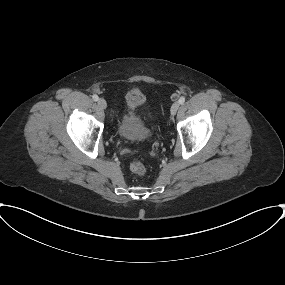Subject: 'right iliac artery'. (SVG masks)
Instances as JSON below:
<instances>
[{
	"instance_id": "right-iliac-artery-1",
	"label": "right iliac artery",
	"mask_w": 285,
	"mask_h": 285,
	"mask_svg": "<svg viewBox=\"0 0 285 285\" xmlns=\"http://www.w3.org/2000/svg\"><path fill=\"white\" fill-rule=\"evenodd\" d=\"M92 98H93L94 101H97V100H98V96H97L96 94H94V95L92 96Z\"/></svg>"
}]
</instances>
